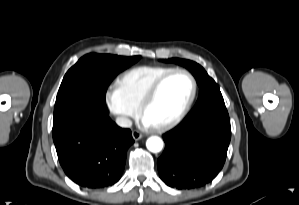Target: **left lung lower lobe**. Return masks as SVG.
Returning <instances> with one entry per match:
<instances>
[{
  "instance_id": "1",
  "label": "left lung lower lobe",
  "mask_w": 299,
  "mask_h": 205,
  "mask_svg": "<svg viewBox=\"0 0 299 205\" xmlns=\"http://www.w3.org/2000/svg\"><path fill=\"white\" fill-rule=\"evenodd\" d=\"M230 139L226 107L187 116L164 134L165 150L157 161L161 180L176 189L204 186L222 169Z\"/></svg>"
}]
</instances>
